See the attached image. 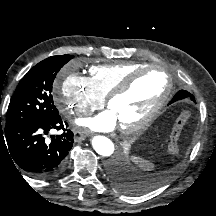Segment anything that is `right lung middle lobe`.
I'll return each mask as SVG.
<instances>
[{"label":"right lung middle lobe","mask_w":216,"mask_h":216,"mask_svg":"<svg viewBox=\"0 0 216 216\" xmlns=\"http://www.w3.org/2000/svg\"><path fill=\"white\" fill-rule=\"evenodd\" d=\"M72 58L70 55L49 57L21 79L10 100L5 127L59 115L52 99V85L59 70Z\"/></svg>","instance_id":"obj_1"}]
</instances>
